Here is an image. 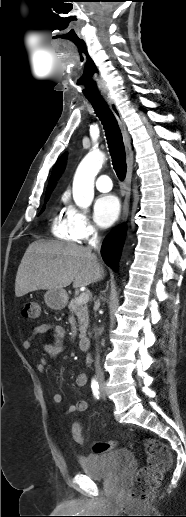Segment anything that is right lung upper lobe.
Masks as SVG:
<instances>
[{"label": "right lung upper lobe", "instance_id": "obj_1", "mask_svg": "<svg viewBox=\"0 0 186 517\" xmlns=\"http://www.w3.org/2000/svg\"><path fill=\"white\" fill-rule=\"evenodd\" d=\"M66 156H67V154L64 153L58 159L56 164L54 165L50 180L48 182V187H47L46 193L50 192V191L52 192V190L56 184V180H58V178L61 176V173L63 172L65 164H66Z\"/></svg>", "mask_w": 186, "mask_h": 517}]
</instances>
